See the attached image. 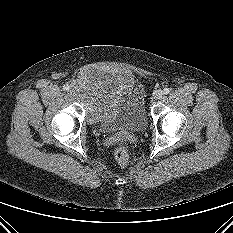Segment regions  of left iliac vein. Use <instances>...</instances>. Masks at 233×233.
<instances>
[{
  "label": "left iliac vein",
  "instance_id": "left-iliac-vein-1",
  "mask_svg": "<svg viewBox=\"0 0 233 233\" xmlns=\"http://www.w3.org/2000/svg\"><path fill=\"white\" fill-rule=\"evenodd\" d=\"M162 95H163V92L160 91V90H158V91H155V92H154L153 98H154L155 100H159V99L162 98Z\"/></svg>",
  "mask_w": 233,
  "mask_h": 233
}]
</instances>
